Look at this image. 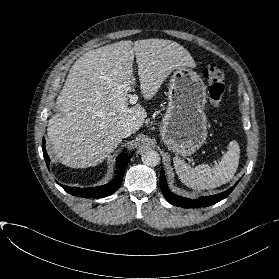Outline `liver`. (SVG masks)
Returning <instances> with one entry per match:
<instances>
[{"label":"liver","instance_id":"liver-1","mask_svg":"<svg viewBox=\"0 0 279 279\" xmlns=\"http://www.w3.org/2000/svg\"><path fill=\"white\" fill-rule=\"evenodd\" d=\"M134 57L145 99L170 72L196 65L183 46L164 39L124 40L86 52L71 67L57 97L58 113L48 121L52 151L62 164L96 166L121 143L125 127L135 133L143 125L144 107H128L127 101L135 86Z\"/></svg>","mask_w":279,"mask_h":279}]
</instances>
